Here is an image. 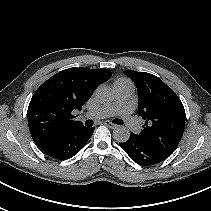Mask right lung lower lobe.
Returning <instances> with one entry per match:
<instances>
[{
  "mask_svg": "<svg viewBox=\"0 0 211 211\" xmlns=\"http://www.w3.org/2000/svg\"><path fill=\"white\" fill-rule=\"evenodd\" d=\"M94 130V127H80L61 134L48 145L40 148L51 158L59 160L69 159L85 146Z\"/></svg>",
  "mask_w": 211,
  "mask_h": 211,
  "instance_id": "obj_1",
  "label": "right lung lower lobe"
}]
</instances>
